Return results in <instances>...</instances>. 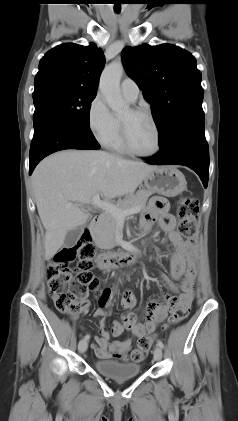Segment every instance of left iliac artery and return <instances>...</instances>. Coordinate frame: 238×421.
I'll use <instances>...</instances> for the list:
<instances>
[{
    "mask_svg": "<svg viewBox=\"0 0 238 421\" xmlns=\"http://www.w3.org/2000/svg\"><path fill=\"white\" fill-rule=\"evenodd\" d=\"M157 345L161 348L164 347L163 342L161 340H157Z\"/></svg>",
    "mask_w": 238,
    "mask_h": 421,
    "instance_id": "44dca946",
    "label": "left iliac artery"
}]
</instances>
